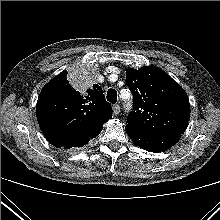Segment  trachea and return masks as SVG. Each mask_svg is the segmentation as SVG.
Wrapping results in <instances>:
<instances>
[{
	"label": "trachea",
	"mask_w": 220,
	"mask_h": 220,
	"mask_svg": "<svg viewBox=\"0 0 220 220\" xmlns=\"http://www.w3.org/2000/svg\"><path fill=\"white\" fill-rule=\"evenodd\" d=\"M107 100L112 104L117 102V92L115 89H109L107 91Z\"/></svg>",
	"instance_id": "1"
}]
</instances>
